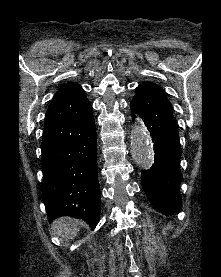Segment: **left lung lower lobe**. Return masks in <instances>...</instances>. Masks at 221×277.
<instances>
[{
    "instance_id": "obj_1",
    "label": "left lung lower lobe",
    "mask_w": 221,
    "mask_h": 277,
    "mask_svg": "<svg viewBox=\"0 0 221 277\" xmlns=\"http://www.w3.org/2000/svg\"><path fill=\"white\" fill-rule=\"evenodd\" d=\"M130 108L133 117L138 113L144 119L155 149L153 166L141 171L142 187L156 209L166 214L178 212L182 204L179 195L181 152L172 110L142 85L136 88Z\"/></svg>"
}]
</instances>
